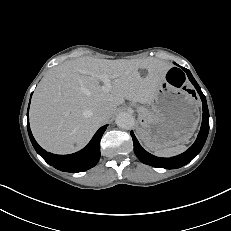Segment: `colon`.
<instances>
[{
	"mask_svg": "<svg viewBox=\"0 0 231 231\" xmlns=\"http://www.w3.org/2000/svg\"><path fill=\"white\" fill-rule=\"evenodd\" d=\"M169 78L177 87H183L185 85V79L183 74L176 69L170 70Z\"/></svg>",
	"mask_w": 231,
	"mask_h": 231,
	"instance_id": "5ec220e1",
	"label": "colon"
}]
</instances>
